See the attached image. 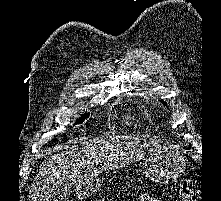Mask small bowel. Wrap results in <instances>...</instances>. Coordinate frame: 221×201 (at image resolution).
Returning <instances> with one entry per match:
<instances>
[{
	"mask_svg": "<svg viewBox=\"0 0 221 201\" xmlns=\"http://www.w3.org/2000/svg\"><path fill=\"white\" fill-rule=\"evenodd\" d=\"M136 201H158V200L147 194H142L136 199Z\"/></svg>",
	"mask_w": 221,
	"mask_h": 201,
	"instance_id": "obj_1",
	"label": "small bowel"
}]
</instances>
